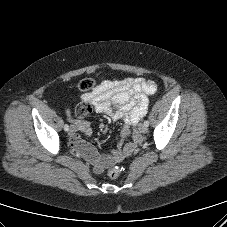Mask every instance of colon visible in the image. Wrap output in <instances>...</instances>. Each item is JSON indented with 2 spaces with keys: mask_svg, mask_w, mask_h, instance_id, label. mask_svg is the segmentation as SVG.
<instances>
[{
  "mask_svg": "<svg viewBox=\"0 0 227 227\" xmlns=\"http://www.w3.org/2000/svg\"><path fill=\"white\" fill-rule=\"evenodd\" d=\"M95 80L92 78H85L80 80L77 83V88L78 90L82 91V92H88L91 91L92 89H94L95 87ZM121 170L118 166H114L112 168L109 169L108 171V176L112 179H116L120 176Z\"/></svg>",
  "mask_w": 227,
  "mask_h": 227,
  "instance_id": "5ec220e1",
  "label": "colon"
}]
</instances>
